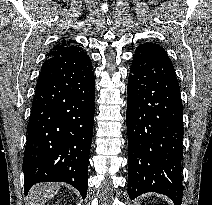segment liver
I'll return each instance as SVG.
<instances>
[{
  "mask_svg": "<svg viewBox=\"0 0 212 205\" xmlns=\"http://www.w3.org/2000/svg\"><path fill=\"white\" fill-rule=\"evenodd\" d=\"M59 188L55 183L37 184L30 190L29 199L32 205H44L58 193Z\"/></svg>",
  "mask_w": 212,
  "mask_h": 205,
  "instance_id": "liver-1",
  "label": "liver"
}]
</instances>
